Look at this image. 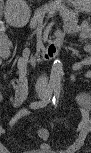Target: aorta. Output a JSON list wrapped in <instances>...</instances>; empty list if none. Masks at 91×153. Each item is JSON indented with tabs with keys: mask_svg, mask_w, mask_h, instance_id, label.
Returning <instances> with one entry per match:
<instances>
[{
	"mask_svg": "<svg viewBox=\"0 0 91 153\" xmlns=\"http://www.w3.org/2000/svg\"><path fill=\"white\" fill-rule=\"evenodd\" d=\"M61 76H62V63L59 59H56L52 65L51 68V74H50V85L51 86H59L61 82Z\"/></svg>",
	"mask_w": 91,
	"mask_h": 153,
	"instance_id": "1",
	"label": "aorta"
}]
</instances>
